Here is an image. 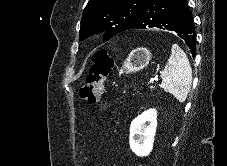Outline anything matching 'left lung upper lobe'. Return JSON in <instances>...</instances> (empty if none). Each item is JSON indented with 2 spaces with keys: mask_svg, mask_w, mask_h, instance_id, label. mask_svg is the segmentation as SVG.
I'll return each instance as SVG.
<instances>
[{
  "mask_svg": "<svg viewBox=\"0 0 227 166\" xmlns=\"http://www.w3.org/2000/svg\"><path fill=\"white\" fill-rule=\"evenodd\" d=\"M148 0H89L81 19L79 39L104 33V42L134 27Z\"/></svg>",
  "mask_w": 227,
  "mask_h": 166,
  "instance_id": "left-lung-upper-lobe-1",
  "label": "left lung upper lobe"
}]
</instances>
